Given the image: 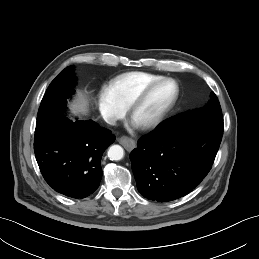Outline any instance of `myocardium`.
<instances>
[{
	"instance_id": "obj_1",
	"label": "myocardium",
	"mask_w": 259,
	"mask_h": 259,
	"mask_svg": "<svg viewBox=\"0 0 259 259\" xmlns=\"http://www.w3.org/2000/svg\"><path fill=\"white\" fill-rule=\"evenodd\" d=\"M171 82L176 87V92L172 100L150 121L138 125L142 130H150L155 127H157L165 118L166 116L171 112V110L175 107L177 104L179 97H180V85L178 81L171 77H162L158 80H155L145 87H143L136 95L135 97L130 101L128 107H127V113L130 119H132L136 109L146 100L148 95L154 90L157 86L166 83Z\"/></svg>"
}]
</instances>
